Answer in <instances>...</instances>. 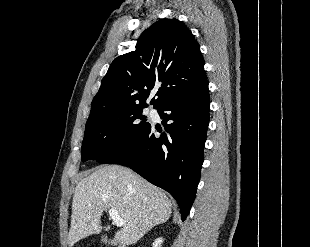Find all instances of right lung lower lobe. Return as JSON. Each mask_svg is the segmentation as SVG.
Wrapping results in <instances>:
<instances>
[{
    "mask_svg": "<svg viewBox=\"0 0 310 247\" xmlns=\"http://www.w3.org/2000/svg\"><path fill=\"white\" fill-rule=\"evenodd\" d=\"M209 104L207 80L172 97L158 108L166 132L155 137L150 125L132 147L109 162L128 166L169 192L179 204L182 221L189 214L200 179Z\"/></svg>",
    "mask_w": 310,
    "mask_h": 247,
    "instance_id": "98d812e1",
    "label": "right lung lower lobe"
}]
</instances>
